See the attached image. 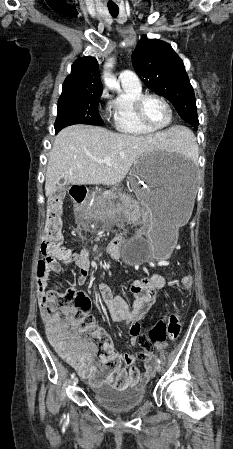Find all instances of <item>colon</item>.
I'll use <instances>...</instances> for the list:
<instances>
[{
    "label": "colon",
    "mask_w": 233,
    "mask_h": 449,
    "mask_svg": "<svg viewBox=\"0 0 233 449\" xmlns=\"http://www.w3.org/2000/svg\"><path fill=\"white\" fill-rule=\"evenodd\" d=\"M64 196L61 193L53 194L48 199L47 217L44 233L42 236L41 252L42 258L38 263V270L45 267L59 257L68 255L69 250L62 247L63 236V208ZM183 289L189 290L193 285V277L185 275L181 280ZM90 308V299L83 293L69 288L64 293H49L41 302L42 317L47 324V332L50 341L61 354L70 359L71 348L66 344V339L73 340L79 351L96 348L97 344L106 343L109 338L102 334L94 325L93 319L87 314ZM182 325L180 313L172 312L166 321L157 322L147 335L138 336L137 343L141 347L138 358H146L151 353L154 344L163 343L166 340L175 341L179 338ZM133 357H126L121 362L130 365ZM131 375L137 376L135 367H131ZM117 388H123L124 382L120 379L114 380Z\"/></svg>",
    "instance_id": "5ec220e1"
}]
</instances>
